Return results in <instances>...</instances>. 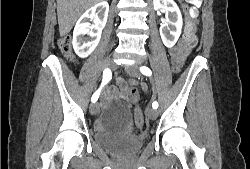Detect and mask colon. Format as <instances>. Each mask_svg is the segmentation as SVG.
I'll return each instance as SVG.
<instances>
[{"instance_id":"obj_1","label":"colon","mask_w":250,"mask_h":169,"mask_svg":"<svg viewBox=\"0 0 250 169\" xmlns=\"http://www.w3.org/2000/svg\"><path fill=\"white\" fill-rule=\"evenodd\" d=\"M181 6L183 8V14L188 15L187 16V23H190V25H195L196 16L195 14H192V8L190 7L189 3H186V0H181ZM185 39L190 43L196 42V35L195 30L191 28L190 26L187 28L186 31V37ZM58 49L59 52L66 57L67 59H72V44L70 40V34H63V37L59 38L58 40ZM180 66L177 63H172L171 72L173 74H180ZM127 95H132V100L137 103L135 105V126L137 129L142 130L144 128V115H142V111H140V105L138 103L140 102L139 92L138 90H127Z\"/></svg>"}]
</instances>
